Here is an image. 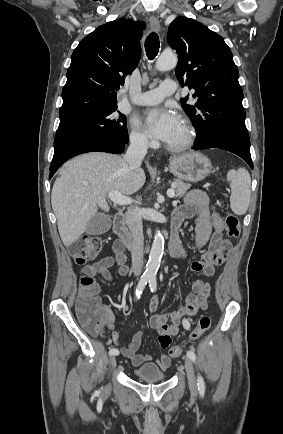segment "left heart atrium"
I'll use <instances>...</instances> for the list:
<instances>
[{
    "label": "left heart atrium",
    "instance_id": "39dd6f15",
    "mask_svg": "<svg viewBox=\"0 0 283 434\" xmlns=\"http://www.w3.org/2000/svg\"><path fill=\"white\" fill-rule=\"evenodd\" d=\"M180 124L178 115L170 108L151 109L146 112L144 126L147 133L158 140L168 142Z\"/></svg>",
    "mask_w": 283,
    "mask_h": 434
}]
</instances>
